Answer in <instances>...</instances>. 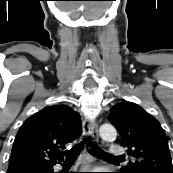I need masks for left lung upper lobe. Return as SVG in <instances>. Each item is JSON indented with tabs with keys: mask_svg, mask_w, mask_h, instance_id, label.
<instances>
[{
	"mask_svg": "<svg viewBox=\"0 0 173 173\" xmlns=\"http://www.w3.org/2000/svg\"><path fill=\"white\" fill-rule=\"evenodd\" d=\"M110 112L109 121L132 158L120 173H173L166 134L157 119L128 101L114 105Z\"/></svg>",
	"mask_w": 173,
	"mask_h": 173,
	"instance_id": "1",
	"label": "left lung upper lobe"
}]
</instances>
